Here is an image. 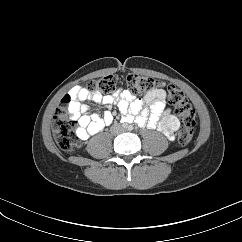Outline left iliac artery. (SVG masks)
Wrapping results in <instances>:
<instances>
[{"label": "left iliac artery", "instance_id": "obj_1", "mask_svg": "<svg viewBox=\"0 0 242 242\" xmlns=\"http://www.w3.org/2000/svg\"><path fill=\"white\" fill-rule=\"evenodd\" d=\"M133 129V127L132 126H129V130H132Z\"/></svg>", "mask_w": 242, "mask_h": 242}]
</instances>
